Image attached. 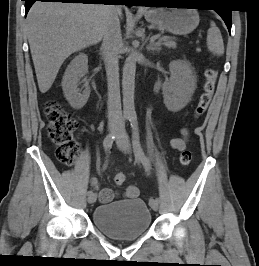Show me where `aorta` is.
Returning a JSON list of instances; mask_svg holds the SVG:
<instances>
[{
    "instance_id": "aorta-1",
    "label": "aorta",
    "mask_w": 259,
    "mask_h": 266,
    "mask_svg": "<svg viewBox=\"0 0 259 266\" xmlns=\"http://www.w3.org/2000/svg\"><path fill=\"white\" fill-rule=\"evenodd\" d=\"M136 57L130 55L123 67L122 89H123V114L130 117L135 114L134 93H135Z\"/></svg>"
}]
</instances>
